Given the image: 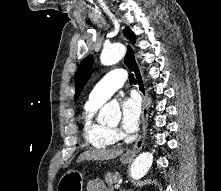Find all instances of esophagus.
I'll return each mask as SVG.
<instances>
[{
	"label": "esophagus",
	"mask_w": 221,
	"mask_h": 191,
	"mask_svg": "<svg viewBox=\"0 0 221 191\" xmlns=\"http://www.w3.org/2000/svg\"><path fill=\"white\" fill-rule=\"evenodd\" d=\"M125 44H126L127 52L124 58V62L126 66L133 71V74L137 81V88H138L139 93L141 94L142 103H143L142 115H141L142 116V130H141L140 136L135 142L132 149L127 151L126 153L127 156L134 157L136 156V154L140 152V150L142 149L145 143L147 127H148L149 98L147 95L143 74L138 64L134 48L129 42H126Z\"/></svg>",
	"instance_id": "obj_1"
}]
</instances>
